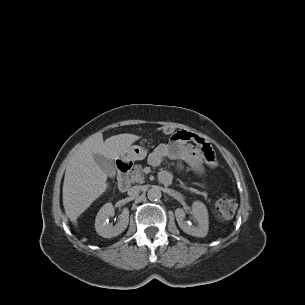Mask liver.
<instances>
[{
    "mask_svg": "<svg viewBox=\"0 0 305 305\" xmlns=\"http://www.w3.org/2000/svg\"><path fill=\"white\" fill-rule=\"evenodd\" d=\"M141 136L119 134L103 140L101 133L87 138L73 153L66 167L63 183V206L71 222L98 199L109 187L107 174L94 161V154L116 160Z\"/></svg>",
    "mask_w": 305,
    "mask_h": 305,
    "instance_id": "1",
    "label": "liver"
}]
</instances>
